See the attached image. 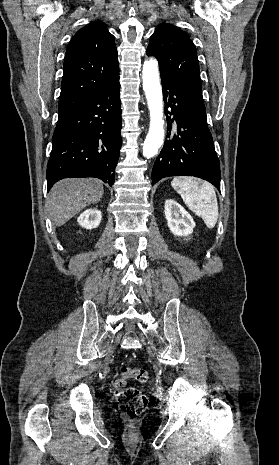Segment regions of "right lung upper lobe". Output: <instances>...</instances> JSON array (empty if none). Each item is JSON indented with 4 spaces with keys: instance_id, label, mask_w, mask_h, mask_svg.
I'll list each match as a JSON object with an SVG mask.
<instances>
[{
    "instance_id": "obj_1",
    "label": "right lung upper lobe",
    "mask_w": 279,
    "mask_h": 465,
    "mask_svg": "<svg viewBox=\"0 0 279 465\" xmlns=\"http://www.w3.org/2000/svg\"><path fill=\"white\" fill-rule=\"evenodd\" d=\"M119 77L114 37L95 21L71 39L64 58L59 118L72 112Z\"/></svg>"
}]
</instances>
